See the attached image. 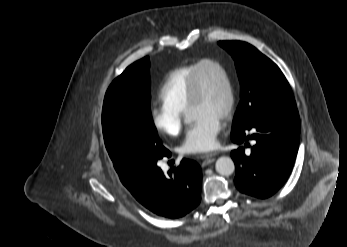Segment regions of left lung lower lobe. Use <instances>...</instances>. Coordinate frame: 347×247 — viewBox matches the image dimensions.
<instances>
[{"mask_svg":"<svg viewBox=\"0 0 347 247\" xmlns=\"http://www.w3.org/2000/svg\"><path fill=\"white\" fill-rule=\"evenodd\" d=\"M299 136L300 120L296 107L266 112L246 128L232 131L234 143H245L249 147L252 142L249 155L245 154L243 147L231 152L236 168L234 182L238 190L258 198L276 193L291 173Z\"/></svg>","mask_w":347,"mask_h":247,"instance_id":"0a47b994","label":"left lung lower lobe"}]
</instances>
